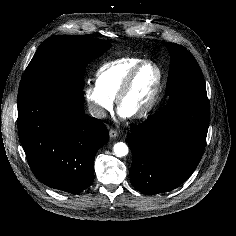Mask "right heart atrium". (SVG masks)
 Instances as JSON below:
<instances>
[{
  "label": "right heart atrium",
  "instance_id": "1",
  "mask_svg": "<svg viewBox=\"0 0 236 236\" xmlns=\"http://www.w3.org/2000/svg\"><path fill=\"white\" fill-rule=\"evenodd\" d=\"M84 97L92 115L98 119L104 118L113 108V99L104 93L96 82H89L86 85Z\"/></svg>",
  "mask_w": 236,
  "mask_h": 236
}]
</instances>
